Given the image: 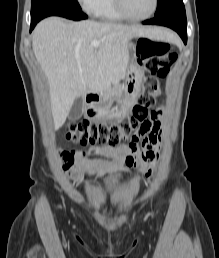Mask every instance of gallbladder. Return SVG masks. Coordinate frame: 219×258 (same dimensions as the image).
Wrapping results in <instances>:
<instances>
[{
    "instance_id": "obj_1",
    "label": "gallbladder",
    "mask_w": 219,
    "mask_h": 258,
    "mask_svg": "<svg viewBox=\"0 0 219 258\" xmlns=\"http://www.w3.org/2000/svg\"><path fill=\"white\" fill-rule=\"evenodd\" d=\"M83 114V102L80 97L76 98L74 103L71 106V109L68 114V119L76 121L81 118Z\"/></svg>"
}]
</instances>
